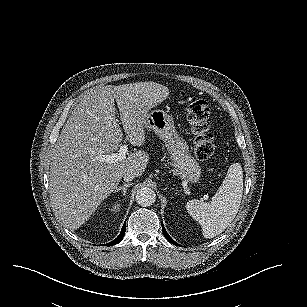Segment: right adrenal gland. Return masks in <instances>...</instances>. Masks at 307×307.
<instances>
[{
    "mask_svg": "<svg viewBox=\"0 0 307 307\" xmlns=\"http://www.w3.org/2000/svg\"><path fill=\"white\" fill-rule=\"evenodd\" d=\"M131 186H132V183L124 184L123 186L117 187V188L114 190V193H117V192H119V191H122V192H123V195H126L127 188H128V187H131Z\"/></svg>",
    "mask_w": 307,
    "mask_h": 307,
    "instance_id": "right-adrenal-gland-1",
    "label": "right adrenal gland"
}]
</instances>
